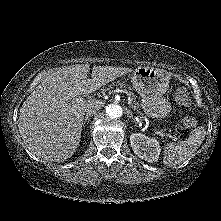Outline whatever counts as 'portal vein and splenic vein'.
<instances>
[{"label": "portal vein and splenic vein", "mask_w": 221, "mask_h": 221, "mask_svg": "<svg viewBox=\"0 0 221 221\" xmlns=\"http://www.w3.org/2000/svg\"><path fill=\"white\" fill-rule=\"evenodd\" d=\"M123 92H124V91H123ZM78 100H79V101H82L83 98H82V97H79ZM156 133L159 134L160 136H164L163 133L160 132V131H157ZM174 138H175L176 140L178 139L177 137H174Z\"/></svg>", "instance_id": "portal-vein-and-splenic-vein-1"}]
</instances>
